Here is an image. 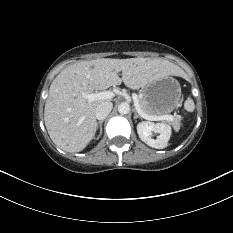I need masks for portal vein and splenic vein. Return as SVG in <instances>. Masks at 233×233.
Segmentation results:
<instances>
[{"instance_id":"1","label":"portal vein and splenic vein","mask_w":233,"mask_h":233,"mask_svg":"<svg viewBox=\"0 0 233 233\" xmlns=\"http://www.w3.org/2000/svg\"><path fill=\"white\" fill-rule=\"evenodd\" d=\"M85 99L88 100V102H93L96 100H109L112 99L115 96V93L112 91H102V92H96V93H89V94H83L82 95ZM133 98V102H134V106L135 109L137 110V112L145 119L147 120H152V121H160V120H166V121H173L174 117L172 115H147L145 114L138 103V96L137 94H133L132 95Z\"/></svg>"}]
</instances>
